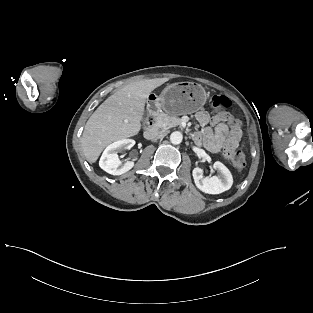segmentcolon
I'll list each match as a JSON object with an SVG mask.
<instances>
[{
    "label": "colon",
    "instance_id": "colon-1",
    "mask_svg": "<svg viewBox=\"0 0 313 313\" xmlns=\"http://www.w3.org/2000/svg\"><path fill=\"white\" fill-rule=\"evenodd\" d=\"M231 100L224 95H213L209 99V106L218 112H225L231 107ZM154 124V120L152 117H147L143 125L145 128H148ZM225 157L232 163L235 169L241 171L246 166V158L241 150L237 149V147L227 146L224 149Z\"/></svg>",
    "mask_w": 313,
    "mask_h": 313
}]
</instances>
